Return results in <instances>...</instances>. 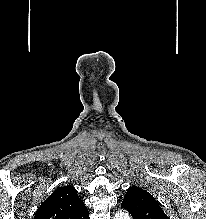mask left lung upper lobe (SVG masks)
Segmentation results:
<instances>
[{
  "mask_svg": "<svg viewBox=\"0 0 206 219\" xmlns=\"http://www.w3.org/2000/svg\"><path fill=\"white\" fill-rule=\"evenodd\" d=\"M121 206L132 215L133 219H168L155 198L137 186L128 188Z\"/></svg>",
  "mask_w": 206,
  "mask_h": 219,
  "instance_id": "1",
  "label": "left lung upper lobe"
}]
</instances>
